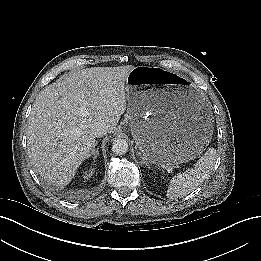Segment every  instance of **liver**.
I'll return each mask as SVG.
<instances>
[{
    "mask_svg": "<svg viewBox=\"0 0 261 261\" xmlns=\"http://www.w3.org/2000/svg\"><path fill=\"white\" fill-rule=\"evenodd\" d=\"M133 65L75 70L43 89L28 119L32 165L48 183L63 187L95 148L92 128L113 133L126 110L125 82Z\"/></svg>",
    "mask_w": 261,
    "mask_h": 261,
    "instance_id": "liver-1",
    "label": "liver"
}]
</instances>
